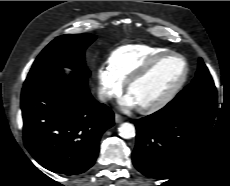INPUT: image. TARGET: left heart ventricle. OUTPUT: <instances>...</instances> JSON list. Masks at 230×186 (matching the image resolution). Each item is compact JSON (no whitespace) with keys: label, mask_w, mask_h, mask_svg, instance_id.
I'll list each match as a JSON object with an SVG mask.
<instances>
[{"label":"left heart ventricle","mask_w":230,"mask_h":186,"mask_svg":"<svg viewBox=\"0 0 230 186\" xmlns=\"http://www.w3.org/2000/svg\"><path fill=\"white\" fill-rule=\"evenodd\" d=\"M184 63L175 56L158 62L142 79L135 82L128 94L138 107L152 104L162 98L181 78Z\"/></svg>","instance_id":"left-heart-ventricle-1"}]
</instances>
